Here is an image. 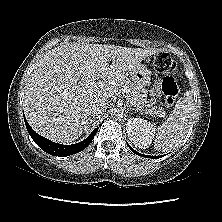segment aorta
I'll return each instance as SVG.
<instances>
[{
	"mask_svg": "<svg viewBox=\"0 0 222 222\" xmlns=\"http://www.w3.org/2000/svg\"><path fill=\"white\" fill-rule=\"evenodd\" d=\"M111 116L114 118H121L123 116V109L121 107H114L111 109Z\"/></svg>",
	"mask_w": 222,
	"mask_h": 222,
	"instance_id": "aorta-1",
	"label": "aorta"
}]
</instances>
